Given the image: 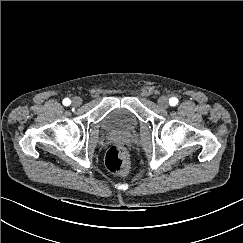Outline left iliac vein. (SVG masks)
I'll list each match as a JSON object with an SVG mask.
<instances>
[{
	"label": "left iliac vein",
	"mask_w": 243,
	"mask_h": 243,
	"mask_svg": "<svg viewBox=\"0 0 243 243\" xmlns=\"http://www.w3.org/2000/svg\"><path fill=\"white\" fill-rule=\"evenodd\" d=\"M158 104L161 108H168L169 107V101H168V98L166 96H161L159 99H158Z\"/></svg>",
	"instance_id": "1"
}]
</instances>
